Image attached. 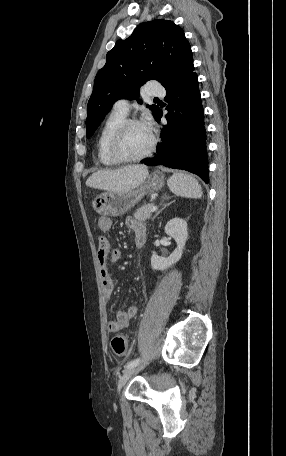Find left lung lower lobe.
Here are the masks:
<instances>
[{
  "instance_id": "0a47b994",
  "label": "left lung lower lobe",
  "mask_w": 286,
  "mask_h": 456,
  "mask_svg": "<svg viewBox=\"0 0 286 456\" xmlns=\"http://www.w3.org/2000/svg\"><path fill=\"white\" fill-rule=\"evenodd\" d=\"M173 84L177 87L174 88ZM165 89V100L170 106L166 108L168 123L161 131L163 142L157 147V154L144 163L187 170L208 183L204 111L193 59L181 68ZM174 105L180 110L175 116ZM161 117L162 110L159 109L156 119L159 121Z\"/></svg>"
}]
</instances>
